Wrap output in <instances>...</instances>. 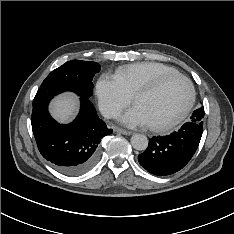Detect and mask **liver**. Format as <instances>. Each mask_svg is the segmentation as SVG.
Here are the masks:
<instances>
[{
	"label": "liver",
	"instance_id": "1",
	"mask_svg": "<svg viewBox=\"0 0 234 234\" xmlns=\"http://www.w3.org/2000/svg\"><path fill=\"white\" fill-rule=\"evenodd\" d=\"M77 111V101L73 95H63L51 104V114L59 122H68Z\"/></svg>",
	"mask_w": 234,
	"mask_h": 234
}]
</instances>
